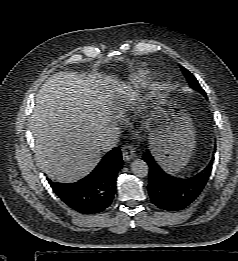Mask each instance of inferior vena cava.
Listing matches in <instances>:
<instances>
[{
  "instance_id": "inferior-vena-cava-1",
  "label": "inferior vena cava",
  "mask_w": 238,
  "mask_h": 261,
  "mask_svg": "<svg viewBox=\"0 0 238 261\" xmlns=\"http://www.w3.org/2000/svg\"><path fill=\"white\" fill-rule=\"evenodd\" d=\"M120 130L116 125L110 124L104 139L101 142L103 151H109L114 148L119 141Z\"/></svg>"
}]
</instances>
